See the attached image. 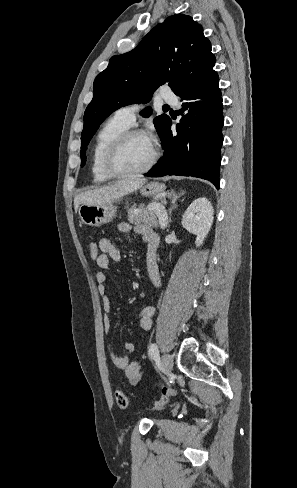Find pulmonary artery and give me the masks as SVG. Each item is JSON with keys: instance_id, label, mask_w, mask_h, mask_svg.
Here are the masks:
<instances>
[{"instance_id": "pulmonary-artery-1", "label": "pulmonary artery", "mask_w": 297, "mask_h": 488, "mask_svg": "<svg viewBox=\"0 0 297 488\" xmlns=\"http://www.w3.org/2000/svg\"><path fill=\"white\" fill-rule=\"evenodd\" d=\"M162 99L170 104L176 105L178 103V98L175 94L169 92L161 93ZM141 109L140 104H130L119 108L115 115L125 122L127 125L132 126L135 123L136 113Z\"/></svg>"}]
</instances>
